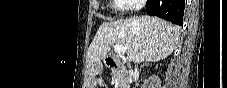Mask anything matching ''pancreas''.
Returning <instances> with one entry per match:
<instances>
[{
	"label": "pancreas",
	"instance_id": "pancreas-1",
	"mask_svg": "<svg viewBox=\"0 0 227 88\" xmlns=\"http://www.w3.org/2000/svg\"><path fill=\"white\" fill-rule=\"evenodd\" d=\"M112 76L115 83H118L120 86L127 88V78L122 73H120L116 69H112Z\"/></svg>",
	"mask_w": 227,
	"mask_h": 88
}]
</instances>
